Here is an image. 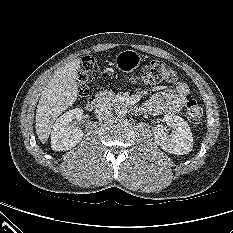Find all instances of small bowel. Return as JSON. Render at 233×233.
<instances>
[{"label":"small bowel","mask_w":233,"mask_h":233,"mask_svg":"<svg viewBox=\"0 0 233 233\" xmlns=\"http://www.w3.org/2000/svg\"><path fill=\"white\" fill-rule=\"evenodd\" d=\"M189 92L185 82H179L175 89L156 92L142 106L143 113L160 115L178 112L186 103Z\"/></svg>","instance_id":"obj_1"}]
</instances>
